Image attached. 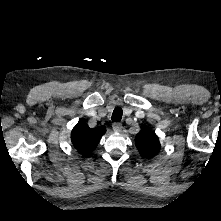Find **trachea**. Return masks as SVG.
I'll return each instance as SVG.
<instances>
[{
    "mask_svg": "<svg viewBox=\"0 0 221 221\" xmlns=\"http://www.w3.org/2000/svg\"><path fill=\"white\" fill-rule=\"evenodd\" d=\"M122 114H123V110L120 107H117L114 109L111 119L114 122H120L122 119Z\"/></svg>",
    "mask_w": 221,
    "mask_h": 221,
    "instance_id": "1",
    "label": "trachea"
}]
</instances>
